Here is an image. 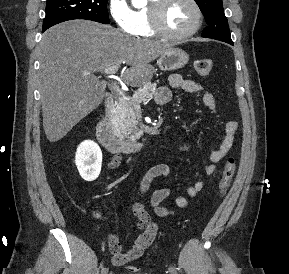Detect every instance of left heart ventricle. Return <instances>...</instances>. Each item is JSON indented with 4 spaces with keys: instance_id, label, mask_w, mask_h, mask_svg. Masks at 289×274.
<instances>
[{
    "instance_id": "b2bd125f",
    "label": "left heart ventricle",
    "mask_w": 289,
    "mask_h": 274,
    "mask_svg": "<svg viewBox=\"0 0 289 274\" xmlns=\"http://www.w3.org/2000/svg\"><path fill=\"white\" fill-rule=\"evenodd\" d=\"M196 22V12L188 0H172L164 13L166 28L174 33L191 29Z\"/></svg>"
}]
</instances>
